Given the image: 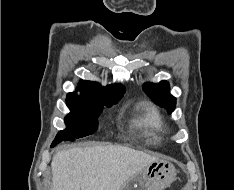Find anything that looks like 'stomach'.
Instances as JSON below:
<instances>
[{
  "mask_svg": "<svg viewBox=\"0 0 234 190\" xmlns=\"http://www.w3.org/2000/svg\"><path fill=\"white\" fill-rule=\"evenodd\" d=\"M172 163L157 159L130 177L120 190H164L176 179Z\"/></svg>",
  "mask_w": 234,
  "mask_h": 190,
  "instance_id": "stomach-1",
  "label": "stomach"
}]
</instances>
